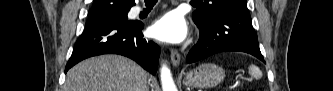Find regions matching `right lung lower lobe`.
<instances>
[{"label": "right lung lower lobe", "instance_id": "98d812e1", "mask_svg": "<svg viewBox=\"0 0 333 91\" xmlns=\"http://www.w3.org/2000/svg\"><path fill=\"white\" fill-rule=\"evenodd\" d=\"M139 21L88 20L78 38L65 72L78 62L101 54H119L129 57L155 75L160 47L142 34Z\"/></svg>", "mask_w": 333, "mask_h": 91}]
</instances>
